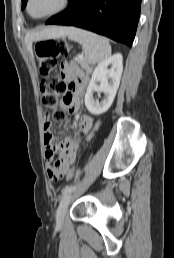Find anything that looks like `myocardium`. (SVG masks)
Returning <instances> with one entry per match:
<instances>
[{
	"mask_svg": "<svg viewBox=\"0 0 174 258\" xmlns=\"http://www.w3.org/2000/svg\"><path fill=\"white\" fill-rule=\"evenodd\" d=\"M32 2H33V0H27L26 1V5H25L26 13L32 19L41 20V19H46V18H49V17H52L54 15H57V14L61 13L63 10H65L68 7L70 0H60L59 5L55 9H53V10L47 12V13H44L42 15H39V16H34L31 13L30 6H31Z\"/></svg>",
	"mask_w": 174,
	"mask_h": 258,
	"instance_id": "f54148a6",
	"label": "myocardium"
}]
</instances>
